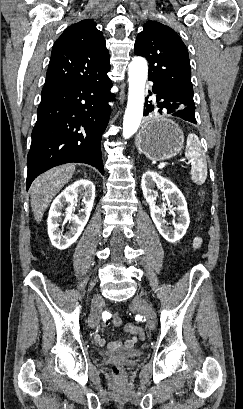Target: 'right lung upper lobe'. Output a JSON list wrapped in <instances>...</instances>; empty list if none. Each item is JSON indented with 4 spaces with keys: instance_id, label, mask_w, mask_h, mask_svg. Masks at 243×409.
<instances>
[{
    "instance_id": "cb5924a9",
    "label": "right lung upper lobe",
    "mask_w": 243,
    "mask_h": 409,
    "mask_svg": "<svg viewBox=\"0 0 243 409\" xmlns=\"http://www.w3.org/2000/svg\"><path fill=\"white\" fill-rule=\"evenodd\" d=\"M109 70L102 32L93 20H82L69 26L55 42L44 87L94 80Z\"/></svg>"
}]
</instances>
